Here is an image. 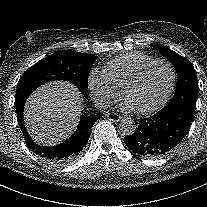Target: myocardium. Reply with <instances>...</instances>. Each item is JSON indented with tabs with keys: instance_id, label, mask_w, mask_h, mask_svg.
Segmentation results:
<instances>
[{
	"instance_id": "1",
	"label": "myocardium",
	"mask_w": 207,
	"mask_h": 207,
	"mask_svg": "<svg viewBox=\"0 0 207 207\" xmlns=\"http://www.w3.org/2000/svg\"><path fill=\"white\" fill-rule=\"evenodd\" d=\"M156 64H164L170 70L171 84L169 86V89L167 91V94H166L165 99L162 102L161 106H164L169 102V100L171 99V97L173 95L175 87H176L177 75H176V71H175V68L172 65V63H170L168 60H165V59H154V60L146 63L126 82V84L122 90V98L125 102H127V96L129 94L130 90L142 79V77L148 71V69ZM133 112L138 116H145V115L150 114L152 111H135V110H133Z\"/></svg>"
}]
</instances>
